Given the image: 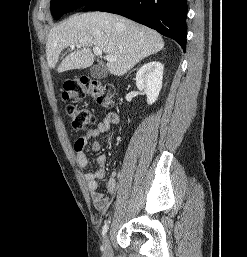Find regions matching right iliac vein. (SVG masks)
I'll list each match as a JSON object with an SVG mask.
<instances>
[{
    "mask_svg": "<svg viewBox=\"0 0 247 257\" xmlns=\"http://www.w3.org/2000/svg\"><path fill=\"white\" fill-rule=\"evenodd\" d=\"M103 257H113L112 247L108 235L103 238L102 245Z\"/></svg>",
    "mask_w": 247,
    "mask_h": 257,
    "instance_id": "63e3f726",
    "label": "right iliac vein"
}]
</instances>
